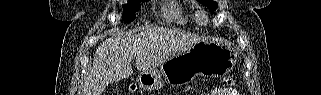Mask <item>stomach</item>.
<instances>
[{
	"instance_id": "obj_1",
	"label": "stomach",
	"mask_w": 321,
	"mask_h": 95,
	"mask_svg": "<svg viewBox=\"0 0 321 95\" xmlns=\"http://www.w3.org/2000/svg\"><path fill=\"white\" fill-rule=\"evenodd\" d=\"M234 64L235 55L229 47L220 42L201 40L188 51L164 62L159 70L141 72L137 82L143 90H156L164 83L183 85L198 75L223 76Z\"/></svg>"
}]
</instances>
